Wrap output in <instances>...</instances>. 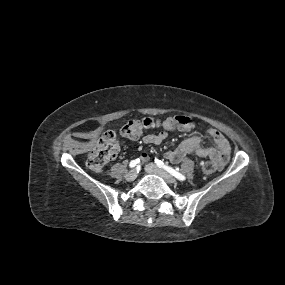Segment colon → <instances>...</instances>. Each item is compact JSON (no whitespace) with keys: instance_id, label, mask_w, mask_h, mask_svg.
Here are the masks:
<instances>
[{"instance_id":"5ec220e1","label":"colon","mask_w":285,"mask_h":285,"mask_svg":"<svg viewBox=\"0 0 285 285\" xmlns=\"http://www.w3.org/2000/svg\"><path fill=\"white\" fill-rule=\"evenodd\" d=\"M157 124L185 132H190L194 128V122L188 115H175L163 120H154L150 117L132 119L120 129L119 136L114 131H109L95 142L87 156L89 169L95 172L102 171L115 158L120 138L136 140L140 137L143 129L151 128ZM215 171V162L206 161L202 164L204 177L213 175Z\"/></svg>"}]
</instances>
